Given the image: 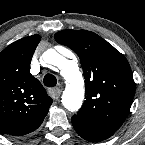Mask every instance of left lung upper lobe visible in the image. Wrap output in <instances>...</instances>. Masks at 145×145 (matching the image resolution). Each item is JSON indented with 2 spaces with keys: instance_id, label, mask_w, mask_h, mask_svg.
<instances>
[{
  "instance_id": "1",
  "label": "left lung upper lobe",
  "mask_w": 145,
  "mask_h": 145,
  "mask_svg": "<svg viewBox=\"0 0 145 145\" xmlns=\"http://www.w3.org/2000/svg\"><path fill=\"white\" fill-rule=\"evenodd\" d=\"M54 37L79 56L84 71L86 101L73 117L93 128L114 133L126 119L135 94L128 61L90 31L63 30Z\"/></svg>"
}]
</instances>
